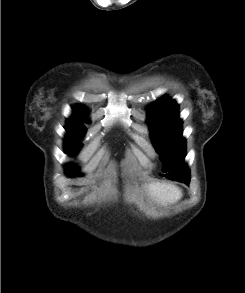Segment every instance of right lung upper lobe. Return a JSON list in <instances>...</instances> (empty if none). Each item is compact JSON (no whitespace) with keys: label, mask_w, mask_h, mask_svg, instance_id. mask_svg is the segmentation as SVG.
Segmentation results:
<instances>
[{"label":"right lung upper lobe","mask_w":245,"mask_h":293,"mask_svg":"<svg viewBox=\"0 0 245 293\" xmlns=\"http://www.w3.org/2000/svg\"><path fill=\"white\" fill-rule=\"evenodd\" d=\"M75 113L82 115L85 118L86 109L83 106L77 105L74 108ZM66 128H86L81 122L75 119H69Z\"/></svg>","instance_id":"right-lung-upper-lobe-1"}]
</instances>
